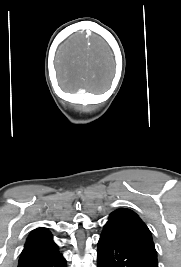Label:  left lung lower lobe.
I'll use <instances>...</instances> for the list:
<instances>
[{"instance_id": "obj_1", "label": "left lung lower lobe", "mask_w": 181, "mask_h": 267, "mask_svg": "<svg viewBox=\"0 0 181 267\" xmlns=\"http://www.w3.org/2000/svg\"><path fill=\"white\" fill-rule=\"evenodd\" d=\"M98 267H158L155 247L132 233L105 225L98 242Z\"/></svg>"}]
</instances>
